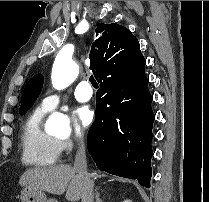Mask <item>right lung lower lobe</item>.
I'll return each mask as SVG.
<instances>
[{
    "label": "right lung lower lobe",
    "instance_id": "98d812e1",
    "mask_svg": "<svg viewBox=\"0 0 209 202\" xmlns=\"http://www.w3.org/2000/svg\"><path fill=\"white\" fill-rule=\"evenodd\" d=\"M148 79L142 74L132 84L115 90L100 87L96 114L88 131V151L99 170L150 187L155 115Z\"/></svg>",
    "mask_w": 209,
    "mask_h": 202
}]
</instances>
